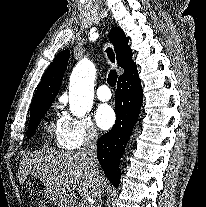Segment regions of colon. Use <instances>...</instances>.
Returning a JSON list of instances; mask_svg holds the SVG:
<instances>
[{"label":"colon","instance_id":"obj_1","mask_svg":"<svg viewBox=\"0 0 206 207\" xmlns=\"http://www.w3.org/2000/svg\"><path fill=\"white\" fill-rule=\"evenodd\" d=\"M36 207H45L44 205H42V204H39V205H37Z\"/></svg>","mask_w":206,"mask_h":207}]
</instances>
